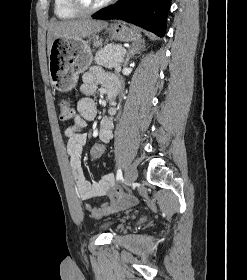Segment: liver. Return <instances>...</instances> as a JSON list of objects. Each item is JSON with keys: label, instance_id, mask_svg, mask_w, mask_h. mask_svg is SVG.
<instances>
[{"label": "liver", "instance_id": "6515ba94", "mask_svg": "<svg viewBox=\"0 0 247 280\" xmlns=\"http://www.w3.org/2000/svg\"><path fill=\"white\" fill-rule=\"evenodd\" d=\"M107 22L92 19L68 21H53L48 26L47 52L50 54L52 42L55 38L79 39L86 38L100 32L107 27Z\"/></svg>", "mask_w": 247, "mask_h": 280}]
</instances>
